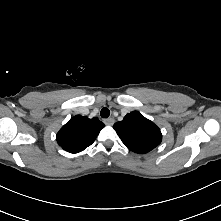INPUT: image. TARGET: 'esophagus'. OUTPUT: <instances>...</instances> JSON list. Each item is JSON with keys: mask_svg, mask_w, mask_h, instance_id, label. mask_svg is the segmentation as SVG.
Here are the masks:
<instances>
[{"mask_svg": "<svg viewBox=\"0 0 221 221\" xmlns=\"http://www.w3.org/2000/svg\"><path fill=\"white\" fill-rule=\"evenodd\" d=\"M115 122L114 118L110 117V118H107V119H104V123L106 125H113Z\"/></svg>", "mask_w": 221, "mask_h": 221, "instance_id": "1", "label": "esophagus"}]
</instances>
